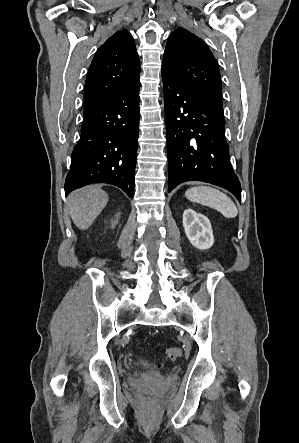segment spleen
Returning a JSON list of instances; mask_svg holds the SVG:
<instances>
[{
	"label": "spleen",
	"mask_w": 299,
	"mask_h": 443,
	"mask_svg": "<svg viewBox=\"0 0 299 443\" xmlns=\"http://www.w3.org/2000/svg\"><path fill=\"white\" fill-rule=\"evenodd\" d=\"M188 200L202 204L219 211L226 218H234L238 215V210L234 202L223 192L209 187H192L185 192Z\"/></svg>",
	"instance_id": "spleen-1"
}]
</instances>
